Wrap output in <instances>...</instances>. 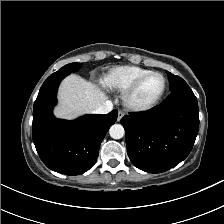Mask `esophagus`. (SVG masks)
Masks as SVG:
<instances>
[{
  "label": "esophagus",
  "instance_id": "34e87169",
  "mask_svg": "<svg viewBox=\"0 0 224 224\" xmlns=\"http://www.w3.org/2000/svg\"><path fill=\"white\" fill-rule=\"evenodd\" d=\"M124 116V112L123 111H119L118 112V117H117V121L119 122Z\"/></svg>",
  "mask_w": 224,
  "mask_h": 224
}]
</instances>
